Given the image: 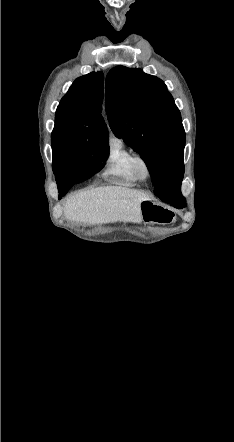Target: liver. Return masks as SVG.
Segmentation results:
<instances>
[{
	"instance_id": "1",
	"label": "liver",
	"mask_w": 234,
	"mask_h": 442,
	"mask_svg": "<svg viewBox=\"0 0 234 442\" xmlns=\"http://www.w3.org/2000/svg\"><path fill=\"white\" fill-rule=\"evenodd\" d=\"M149 200L137 190L122 186H106L81 191L65 204L64 216L71 221L88 224L142 222L140 203Z\"/></svg>"
}]
</instances>
